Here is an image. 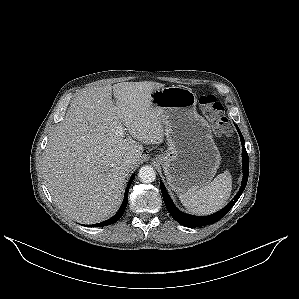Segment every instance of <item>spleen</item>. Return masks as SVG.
<instances>
[{
    "label": "spleen",
    "mask_w": 299,
    "mask_h": 299,
    "mask_svg": "<svg viewBox=\"0 0 299 299\" xmlns=\"http://www.w3.org/2000/svg\"><path fill=\"white\" fill-rule=\"evenodd\" d=\"M232 178L228 171L219 174L208 185L179 194L185 208L198 215H209L223 208L231 195Z\"/></svg>",
    "instance_id": "obj_1"
}]
</instances>
